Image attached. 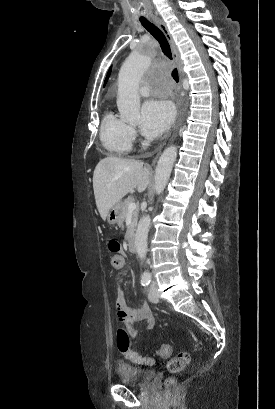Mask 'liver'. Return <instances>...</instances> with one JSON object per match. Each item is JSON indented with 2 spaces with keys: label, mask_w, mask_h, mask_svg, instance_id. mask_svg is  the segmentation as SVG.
<instances>
[{
  "label": "liver",
  "mask_w": 275,
  "mask_h": 409,
  "mask_svg": "<svg viewBox=\"0 0 275 409\" xmlns=\"http://www.w3.org/2000/svg\"><path fill=\"white\" fill-rule=\"evenodd\" d=\"M140 160L106 156L98 162L93 174L97 209L103 219L116 202L132 188L143 192L149 184V168Z\"/></svg>",
  "instance_id": "6515ba94"
}]
</instances>
